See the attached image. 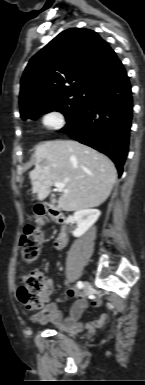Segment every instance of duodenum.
Here are the masks:
<instances>
[{
  "instance_id": "obj_1",
  "label": "duodenum",
  "mask_w": 145,
  "mask_h": 385,
  "mask_svg": "<svg viewBox=\"0 0 145 385\" xmlns=\"http://www.w3.org/2000/svg\"><path fill=\"white\" fill-rule=\"evenodd\" d=\"M36 213L38 215H47L51 219L55 220L58 224L65 226V222H66L65 215L62 213V211L59 208L53 206L50 203L40 204L38 209L36 210ZM65 244H66V238L62 234L56 239L55 246L57 248H62Z\"/></svg>"
}]
</instances>
